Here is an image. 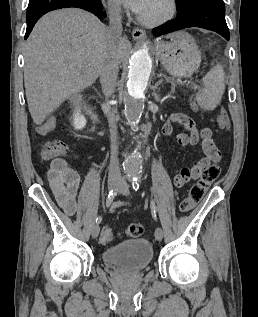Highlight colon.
Here are the masks:
<instances>
[{
  "label": "colon",
  "instance_id": "colon-1",
  "mask_svg": "<svg viewBox=\"0 0 258 317\" xmlns=\"http://www.w3.org/2000/svg\"><path fill=\"white\" fill-rule=\"evenodd\" d=\"M196 109V106L194 105ZM217 124L220 129L228 131L230 129V120L225 110H219ZM66 145L59 140H50L42 144L38 150V156L41 160L47 161L63 155L66 152ZM220 166L216 163L208 165L202 172L200 179L190 188L187 197L181 202L180 210L182 212L191 211L204 197L211 184L218 178ZM143 226L139 223H132L127 228V234L131 237H139L143 233ZM114 241V232L110 227H104L100 234V243L110 245Z\"/></svg>",
  "mask_w": 258,
  "mask_h": 317
}]
</instances>
